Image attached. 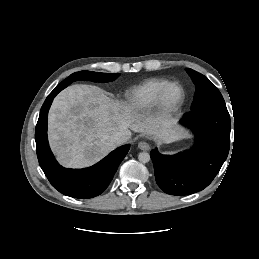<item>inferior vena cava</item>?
<instances>
[{"instance_id": "602c4592", "label": "inferior vena cava", "mask_w": 259, "mask_h": 259, "mask_svg": "<svg viewBox=\"0 0 259 259\" xmlns=\"http://www.w3.org/2000/svg\"><path fill=\"white\" fill-rule=\"evenodd\" d=\"M127 139V136L121 132H117L109 137V141L116 146L123 144Z\"/></svg>"}]
</instances>
